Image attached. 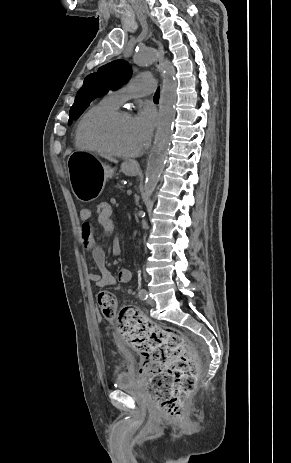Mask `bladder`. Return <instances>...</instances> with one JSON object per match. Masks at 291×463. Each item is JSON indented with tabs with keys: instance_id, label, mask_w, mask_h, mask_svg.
Returning a JSON list of instances; mask_svg holds the SVG:
<instances>
[{
	"instance_id": "31cf9c89",
	"label": "bladder",
	"mask_w": 291,
	"mask_h": 463,
	"mask_svg": "<svg viewBox=\"0 0 291 463\" xmlns=\"http://www.w3.org/2000/svg\"><path fill=\"white\" fill-rule=\"evenodd\" d=\"M134 358L132 356L123 357V368L116 374L115 384L118 388H129L136 385V378L133 375L131 366Z\"/></svg>"
}]
</instances>
